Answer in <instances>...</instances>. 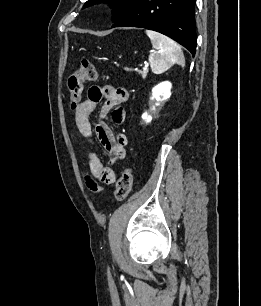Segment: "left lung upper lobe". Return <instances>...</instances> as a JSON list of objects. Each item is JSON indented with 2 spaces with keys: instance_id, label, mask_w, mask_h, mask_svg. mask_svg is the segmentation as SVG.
Segmentation results:
<instances>
[{
  "instance_id": "left-lung-upper-lobe-1",
  "label": "left lung upper lobe",
  "mask_w": 261,
  "mask_h": 306,
  "mask_svg": "<svg viewBox=\"0 0 261 306\" xmlns=\"http://www.w3.org/2000/svg\"><path fill=\"white\" fill-rule=\"evenodd\" d=\"M134 1L135 0H88L84 4V7H88L100 2L109 3V5L113 8L112 20L116 22L127 13Z\"/></svg>"
}]
</instances>
